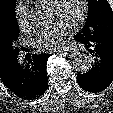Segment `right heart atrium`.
Instances as JSON below:
<instances>
[{
	"mask_svg": "<svg viewBox=\"0 0 113 113\" xmlns=\"http://www.w3.org/2000/svg\"><path fill=\"white\" fill-rule=\"evenodd\" d=\"M14 17L20 30L28 31L31 29L30 11L25 0H17L14 7Z\"/></svg>",
	"mask_w": 113,
	"mask_h": 113,
	"instance_id": "obj_1",
	"label": "right heart atrium"
}]
</instances>
